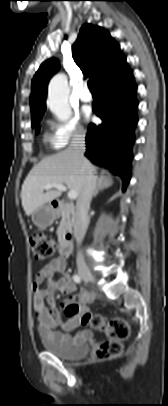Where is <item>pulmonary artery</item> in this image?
<instances>
[{"label": "pulmonary artery", "instance_id": "e3ab8cb5", "mask_svg": "<svg viewBox=\"0 0 168 406\" xmlns=\"http://www.w3.org/2000/svg\"><path fill=\"white\" fill-rule=\"evenodd\" d=\"M80 99L82 102H91L92 101V94L89 91V89L84 86L81 93H80Z\"/></svg>", "mask_w": 168, "mask_h": 406}]
</instances>
